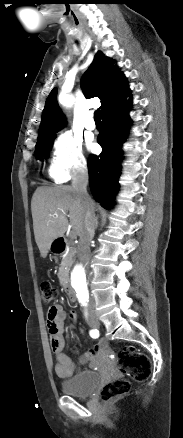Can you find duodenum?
Segmentation results:
<instances>
[{"instance_id":"1","label":"duodenum","mask_w":183,"mask_h":438,"mask_svg":"<svg viewBox=\"0 0 183 438\" xmlns=\"http://www.w3.org/2000/svg\"><path fill=\"white\" fill-rule=\"evenodd\" d=\"M55 245H56L57 253H63L64 250L66 249V240H65V238H59L56 241ZM64 290L66 292L68 300L71 301V302H75L76 301V294H75V291L73 290V288L70 286L69 283H65Z\"/></svg>"}]
</instances>
